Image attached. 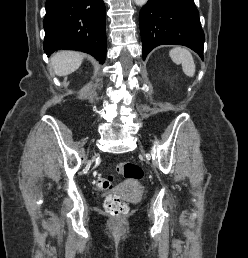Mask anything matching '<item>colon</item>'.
Segmentation results:
<instances>
[{
    "label": "colon",
    "instance_id": "colon-1",
    "mask_svg": "<svg viewBox=\"0 0 248 258\" xmlns=\"http://www.w3.org/2000/svg\"><path fill=\"white\" fill-rule=\"evenodd\" d=\"M116 170L129 180L140 181L144 176L142 167L133 162H120L117 164ZM94 183L101 190H111L113 188V181L110 177H102L96 174ZM104 206L106 211L115 217L123 216L128 210L126 202L115 194L107 196Z\"/></svg>",
    "mask_w": 248,
    "mask_h": 258
}]
</instances>
